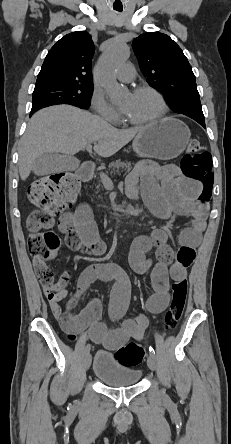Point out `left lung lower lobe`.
<instances>
[{
    "label": "left lung lower lobe",
    "mask_w": 231,
    "mask_h": 444,
    "mask_svg": "<svg viewBox=\"0 0 231 444\" xmlns=\"http://www.w3.org/2000/svg\"><path fill=\"white\" fill-rule=\"evenodd\" d=\"M195 121H197L202 127L205 128V120L202 119H194Z\"/></svg>",
    "instance_id": "obj_1"
}]
</instances>
